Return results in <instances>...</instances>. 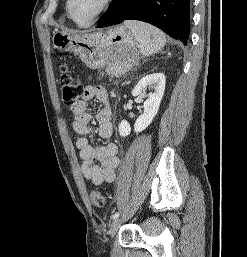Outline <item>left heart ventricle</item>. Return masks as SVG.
I'll return each mask as SVG.
<instances>
[{"label":"left heart ventricle","instance_id":"1","mask_svg":"<svg viewBox=\"0 0 247 257\" xmlns=\"http://www.w3.org/2000/svg\"><path fill=\"white\" fill-rule=\"evenodd\" d=\"M101 3L102 0H72L71 12L78 21L85 23L98 11Z\"/></svg>","mask_w":247,"mask_h":257}]
</instances>
